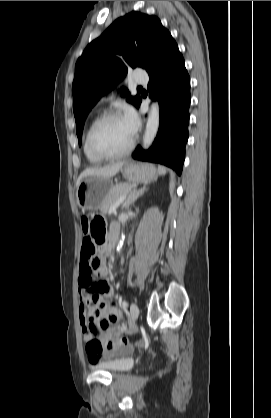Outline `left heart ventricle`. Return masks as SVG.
Instances as JSON below:
<instances>
[{"label": "left heart ventricle", "mask_w": 271, "mask_h": 418, "mask_svg": "<svg viewBox=\"0 0 271 418\" xmlns=\"http://www.w3.org/2000/svg\"><path fill=\"white\" fill-rule=\"evenodd\" d=\"M132 139L122 117L110 119L96 131L94 142L98 149L107 153L124 150Z\"/></svg>", "instance_id": "b2bd125f"}]
</instances>
